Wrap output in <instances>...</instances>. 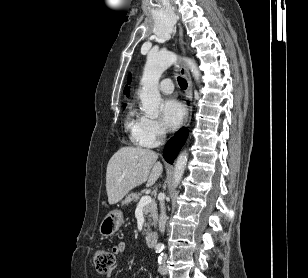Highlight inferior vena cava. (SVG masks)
Listing matches in <instances>:
<instances>
[{
	"mask_svg": "<svg viewBox=\"0 0 308 278\" xmlns=\"http://www.w3.org/2000/svg\"><path fill=\"white\" fill-rule=\"evenodd\" d=\"M164 134V132H162V135ZM160 209H161V213H160V217H159V231L161 233H164L165 231V224H166V212H165V203L164 200H160Z\"/></svg>",
	"mask_w": 308,
	"mask_h": 278,
	"instance_id": "inferior-vena-cava-1",
	"label": "inferior vena cava"
}]
</instances>
